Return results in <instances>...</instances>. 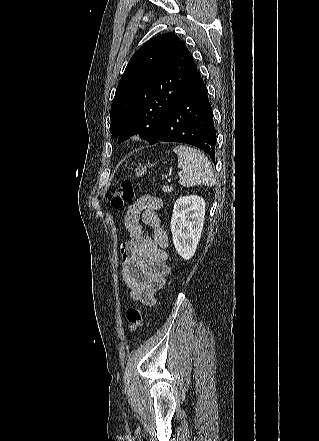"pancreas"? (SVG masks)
Here are the masks:
<instances>
[{
    "label": "pancreas",
    "mask_w": 319,
    "mask_h": 441,
    "mask_svg": "<svg viewBox=\"0 0 319 441\" xmlns=\"http://www.w3.org/2000/svg\"><path fill=\"white\" fill-rule=\"evenodd\" d=\"M162 190H163L165 193H171V192L173 191V188H172V187H169L168 185H164L163 188H162Z\"/></svg>",
    "instance_id": "1"
}]
</instances>
